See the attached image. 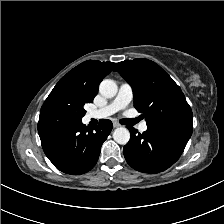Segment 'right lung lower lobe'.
I'll return each instance as SVG.
<instances>
[{"instance_id": "right-lung-lower-lobe-1", "label": "right lung lower lobe", "mask_w": 224, "mask_h": 224, "mask_svg": "<svg viewBox=\"0 0 224 224\" xmlns=\"http://www.w3.org/2000/svg\"><path fill=\"white\" fill-rule=\"evenodd\" d=\"M112 130V122L100 120L90 128L81 119L53 112H40L38 133L43 150L60 171L77 175L96 164L103 142Z\"/></svg>"}]
</instances>
